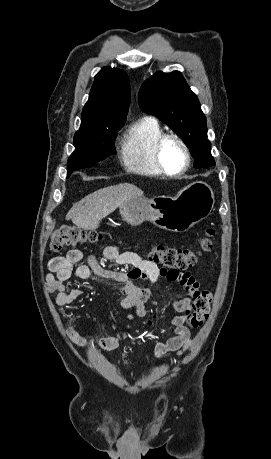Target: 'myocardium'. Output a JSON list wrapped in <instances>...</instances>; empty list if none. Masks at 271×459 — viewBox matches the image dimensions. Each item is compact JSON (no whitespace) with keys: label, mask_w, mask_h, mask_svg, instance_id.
<instances>
[{"label":"myocardium","mask_w":271,"mask_h":459,"mask_svg":"<svg viewBox=\"0 0 271 459\" xmlns=\"http://www.w3.org/2000/svg\"><path fill=\"white\" fill-rule=\"evenodd\" d=\"M169 138H175L177 140H179L181 142V144L183 145L185 151H186V155H187V163H186V166L184 167V169L180 170V171H177V172H173L171 170L168 169V167L166 166L164 160H163V156H162V147H163V144L164 142L169 139ZM153 158H154V161L156 163V165L160 168V170L167 176L169 177H180L184 174H186L189 169L191 168V165L193 163V153H192V150H191V147L189 145V143L187 142V140L182 136L180 135L179 133L177 132H173V131H169V132H163L162 134H160L155 142H154V146H153Z\"/></svg>","instance_id":"f54148a6"}]
</instances>
